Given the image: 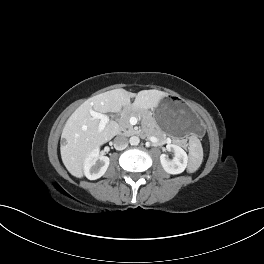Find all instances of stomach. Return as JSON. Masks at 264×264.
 I'll list each match as a JSON object with an SVG mask.
<instances>
[{"mask_svg":"<svg viewBox=\"0 0 264 264\" xmlns=\"http://www.w3.org/2000/svg\"><path fill=\"white\" fill-rule=\"evenodd\" d=\"M154 122L160 130L182 136L192 134L201 136L205 132V125L196 118L190 107L176 97L166 98L162 104L152 112Z\"/></svg>","mask_w":264,"mask_h":264,"instance_id":"0dacf381","label":"stomach"}]
</instances>
